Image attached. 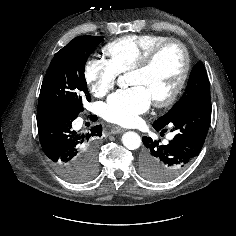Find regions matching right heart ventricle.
<instances>
[{
  "mask_svg": "<svg viewBox=\"0 0 236 236\" xmlns=\"http://www.w3.org/2000/svg\"><path fill=\"white\" fill-rule=\"evenodd\" d=\"M171 39L162 34L127 35L105 45L104 53L119 73L131 70L157 44Z\"/></svg>",
  "mask_w": 236,
  "mask_h": 236,
  "instance_id": "1",
  "label": "right heart ventricle"
}]
</instances>
